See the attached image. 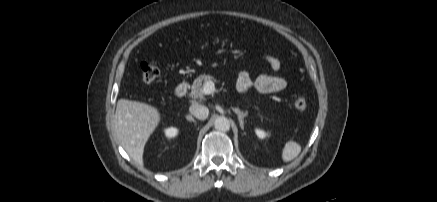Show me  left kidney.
Listing matches in <instances>:
<instances>
[{
    "label": "left kidney",
    "mask_w": 437,
    "mask_h": 202,
    "mask_svg": "<svg viewBox=\"0 0 437 202\" xmlns=\"http://www.w3.org/2000/svg\"><path fill=\"white\" fill-rule=\"evenodd\" d=\"M255 133H256V135H257L260 139H264V138H266L267 136H269V134H268L267 132H265L264 130L259 129V128H256V129H255Z\"/></svg>",
    "instance_id": "obj_1"
}]
</instances>
